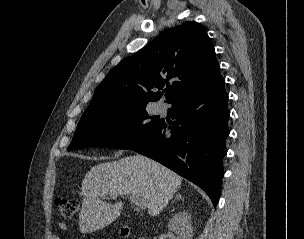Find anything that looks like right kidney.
Masks as SVG:
<instances>
[{"label": "right kidney", "mask_w": 304, "mask_h": 239, "mask_svg": "<svg viewBox=\"0 0 304 239\" xmlns=\"http://www.w3.org/2000/svg\"><path fill=\"white\" fill-rule=\"evenodd\" d=\"M168 228L175 232L178 239H192L193 228L190 222V215L188 212H178L170 220Z\"/></svg>", "instance_id": "ca27d5eb"}]
</instances>
